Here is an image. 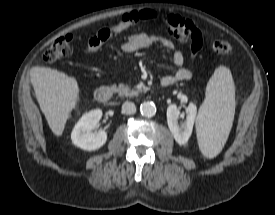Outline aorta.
Instances as JSON below:
<instances>
[{"label": "aorta", "mask_w": 275, "mask_h": 215, "mask_svg": "<svg viewBox=\"0 0 275 215\" xmlns=\"http://www.w3.org/2000/svg\"><path fill=\"white\" fill-rule=\"evenodd\" d=\"M142 116L153 117L156 114V106L152 102H144L140 106Z\"/></svg>", "instance_id": "obj_1"}]
</instances>
